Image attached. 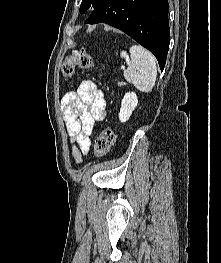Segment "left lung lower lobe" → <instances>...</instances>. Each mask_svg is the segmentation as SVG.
Segmentation results:
<instances>
[{
  "label": "left lung lower lobe",
  "mask_w": 221,
  "mask_h": 263,
  "mask_svg": "<svg viewBox=\"0 0 221 263\" xmlns=\"http://www.w3.org/2000/svg\"><path fill=\"white\" fill-rule=\"evenodd\" d=\"M167 0H104L85 24L106 23L150 50L164 69L170 43Z\"/></svg>",
  "instance_id": "left-lung-lower-lobe-1"
}]
</instances>
